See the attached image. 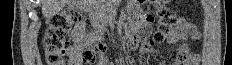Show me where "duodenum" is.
I'll use <instances>...</instances> for the list:
<instances>
[{"label": "duodenum", "mask_w": 232, "mask_h": 65, "mask_svg": "<svg viewBox=\"0 0 232 65\" xmlns=\"http://www.w3.org/2000/svg\"><path fill=\"white\" fill-rule=\"evenodd\" d=\"M78 5L83 8V9H87V5H86V2L85 1H80L78 2Z\"/></svg>", "instance_id": "duodenum-1"}]
</instances>
